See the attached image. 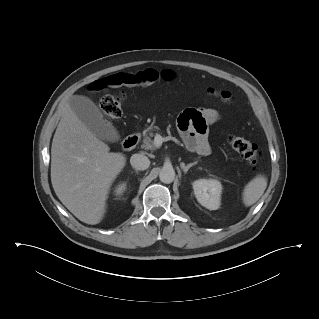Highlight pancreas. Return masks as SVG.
I'll return each mask as SVG.
<instances>
[{"mask_svg":"<svg viewBox=\"0 0 319 319\" xmlns=\"http://www.w3.org/2000/svg\"><path fill=\"white\" fill-rule=\"evenodd\" d=\"M154 128L153 127H148L143 131V144L141 145V148L145 150H154L155 146L153 144V140L151 139L155 134L153 133Z\"/></svg>","mask_w":319,"mask_h":319,"instance_id":"obj_1","label":"pancreas"}]
</instances>
